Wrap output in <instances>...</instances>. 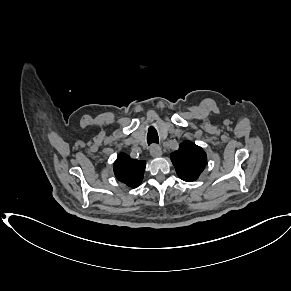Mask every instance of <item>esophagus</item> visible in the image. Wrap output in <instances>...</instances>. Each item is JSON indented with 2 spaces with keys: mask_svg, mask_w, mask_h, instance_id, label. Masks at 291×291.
<instances>
[{
  "mask_svg": "<svg viewBox=\"0 0 291 291\" xmlns=\"http://www.w3.org/2000/svg\"><path fill=\"white\" fill-rule=\"evenodd\" d=\"M150 154L153 157H160L162 156V150L158 145L154 144L150 148Z\"/></svg>",
  "mask_w": 291,
  "mask_h": 291,
  "instance_id": "obj_1",
  "label": "esophagus"
}]
</instances>
